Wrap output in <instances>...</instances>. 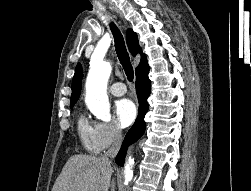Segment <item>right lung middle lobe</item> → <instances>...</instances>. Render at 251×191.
Masks as SVG:
<instances>
[{
  "instance_id": "obj_1",
  "label": "right lung middle lobe",
  "mask_w": 251,
  "mask_h": 191,
  "mask_svg": "<svg viewBox=\"0 0 251 191\" xmlns=\"http://www.w3.org/2000/svg\"><path fill=\"white\" fill-rule=\"evenodd\" d=\"M73 106H74V104H71V105H70V108H72Z\"/></svg>"
}]
</instances>
